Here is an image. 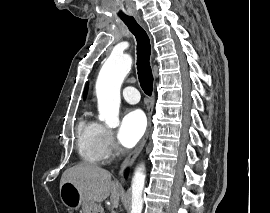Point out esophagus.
Segmentation results:
<instances>
[{"label":"esophagus","instance_id":"obj_1","mask_svg":"<svg viewBox=\"0 0 270 213\" xmlns=\"http://www.w3.org/2000/svg\"><path fill=\"white\" fill-rule=\"evenodd\" d=\"M153 98H154V93H153ZM152 111H153V106H151L150 109H149L148 126H147V130L145 132V135L143 136V138L140 141V143L138 144V146L122 162V164L120 166L119 174H118L119 177H123V174H124L125 170L133 164L135 159L138 157V155L142 151V149H143V147H144V145H145V143H146V141L148 139V136L150 134Z\"/></svg>","mask_w":270,"mask_h":213}]
</instances>
